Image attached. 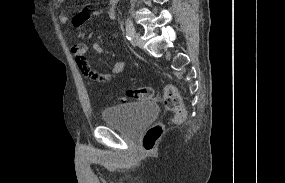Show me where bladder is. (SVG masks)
Instances as JSON below:
<instances>
[{
  "label": "bladder",
  "instance_id": "31cf9c89",
  "mask_svg": "<svg viewBox=\"0 0 285 183\" xmlns=\"http://www.w3.org/2000/svg\"><path fill=\"white\" fill-rule=\"evenodd\" d=\"M157 114L158 107L152 102L126 103L104 108L102 121L105 124L119 126L130 134H138Z\"/></svg>",
  "mask_w": 285,
  "mask_h": 183
}]
</instances>
